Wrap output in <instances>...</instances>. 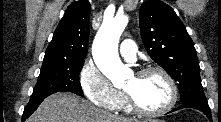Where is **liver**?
I'll return each instance as SVG.
<instances>
[{
    "label": "liver",
    "mask_w": 221,
    "mask_h": 122,
    "mask_svg": "<svg viewBox=\"0 0 221 122\" xmlns=\"http://www.w3.org/2000/svg\"><path fill=\"white\" fill-rule=\"evenodd\" d=\"M27 122H138L109 114L71 93H54L45 98Z\"/></svg>",
    "instance_id": "liver-1"
}]
</instances>
